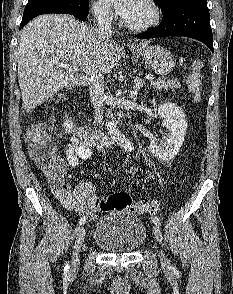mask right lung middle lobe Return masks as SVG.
Wrapping results in <instances>:
<instances>
[{
    "label": "right lung middle lobe",
    "mask_w": 233,
    "mask_h": 294,
    "mask_svg": "<svg viewBox=\"0 0 233 294\" xmlns=\"http://www.w3.org/2000/svg\"><path fill=\"white\" fill-rule=\"evenodd\" d=\"M88 5V0H28L22 22L47 13L68 14Z\"/></svg>",
    "instance_id": "right-lung-middle-lobe-1"
}]
</instances>
